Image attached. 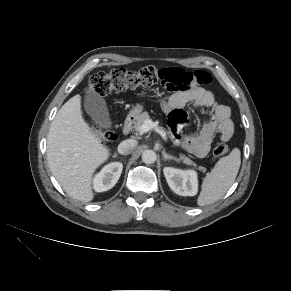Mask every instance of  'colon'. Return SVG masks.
I'll return each mask as SVG.
<instances>
[{"label": "colon", "mask_w": 291, "mask_h": 291, "mask_svg": "<svg viewBox=\"0 0 291 291\" xmlns=\"http://www.w3.org/2000/svg\"><path fill=\"white\" fill-rule=\"evenodd\" d=\"M195 76L200 83L207 84L210 82V76L205 72H197ZM159 82L168 90H177L185 88L189 84V79L178 76L169 77L166 75L165 70L157 69L153 66L143 67L136 72L121 68L108 73L98 72L93 74L89 80L87 91L105 96L112 91L149 87ZM92 129L103 142H109L115 138L111 131L103 130L96 125ZM228 152L229 147L225 143H218L213 149V154L216 157L225 156Z\"/></svg>", "instance_id": "colon-1"}]
</instances>
